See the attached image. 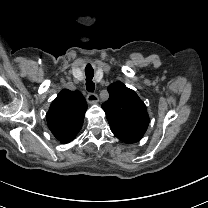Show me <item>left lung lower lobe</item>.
I'll use <instances>...</instances> for the list:
<instances>
[{
  "mask_svg": "<svg viewBox=\"0 0 208 208\" xmlns=\"http://www.w3.org/2000/svg\"><path fill=\"white\" fill-rule=\"evenodd\" d=\"M112 132L118 139L122 140L125 143H135L143 137V134L120 131L116 129H112Z\"/></svg>",
  "mask_w": 208,
  "mask_h": 208,
  "instance_id": "obj_1",
  "label": "left lung lower lobe"
}]
</instances>
